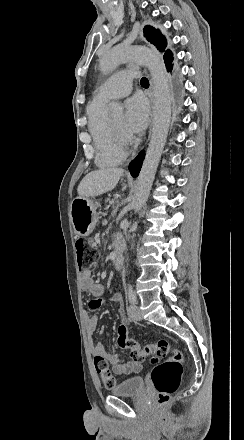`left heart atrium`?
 <instances>
[{"instance_id":"obj_1","label":"left heart atrium","mask_w":244,"mask_h":440,"mask_svg":"<svg viewBox=\"0 0 244 440\" xmlns=\"http://www.w3.org/2000/svg\"><path fill=\"white\" fill-rule=\"evenodd\" d=\"M125 127L131 132L143 131L148 123V105L141 96H134L126 101Z\"/></svg>"}]
</instances>
